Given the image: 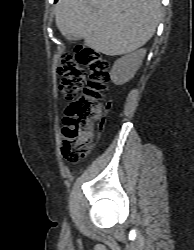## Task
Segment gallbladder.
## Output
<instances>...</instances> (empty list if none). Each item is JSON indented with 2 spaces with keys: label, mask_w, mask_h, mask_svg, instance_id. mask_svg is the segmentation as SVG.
Masks as SVG:
<instances>
[{
  "label": "gallbladder",
  "mask_w": 194,
  "mask_h": 250,
  "mask_svg": "<svg viewBox=\"0 0 194 250\" xmlns=\"http://www.w3.org/2000/svg\"><path fill=\"white\" fill-rule=\"evenodd\" d=\"M67 39H69V40H80L81 37L77 36V35H73V34H68Z\"/></svg>",
  "instance_id": "gallbladder-1"
}]
</instances>
